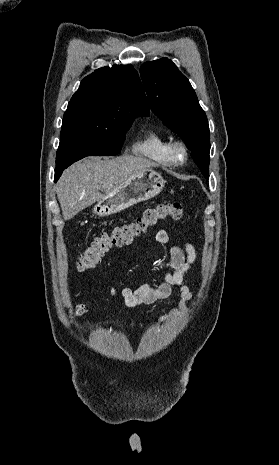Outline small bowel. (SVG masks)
Wrapping results in <instances>:
<instances>
[{
	"label": "small bowel",
	"mask_w": 279,
	"mask_h": 465,
	"mask_svg": "<svg viewBox=\"0 0 279 465\" xmlns=\"http://www.w3.org/2000/svg\"><path fill=\"white\" fill-rule=\"evenodd\" d=\"M155 239L159 244H168L169 234L166 230L159 229L156 231ZM169 254L171 272L165 275L163 282L158 286L143 284L136 289L108 287L107 291L112 297L121 298L126 306L135 307L150 305L166 299L171 295L173 288H177L180 291L179 308L184 309L186 302L194 295L192 286L186 282L185 276L196 260V250L192 244L186 242L184 248L170 246ZM177 314L179 312L176 308L160 316L157 321L159 323L165 322Z\"/></svg>",
	"instance_id": "obj_1"
}]
</instances>
